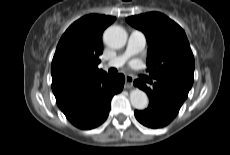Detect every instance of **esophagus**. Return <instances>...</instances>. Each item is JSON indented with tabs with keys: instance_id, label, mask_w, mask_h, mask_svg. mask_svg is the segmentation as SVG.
<instances>
[{
	"instance_id": "1",
	"label": "esophagus",
	"mask_w": 230,
	"mask_h": 155,
	"mask_svg": "<svg viewBox=\"0 0 230 155\" xmlns=\"http://www.w3.org/2000/svg\"><path fill=\"white\" fill-rule=\"evenodd\" d=\"M134 78L131 75H125V88L133 87Z\"/></svg>"
}]
</instances>
